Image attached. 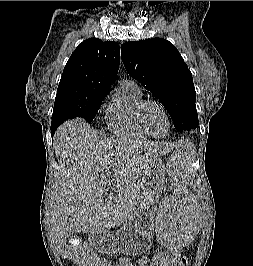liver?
<instances>
[{
  "instance_id": "1",
  "label": "liver",
  "mask_w": 253,
  "mask_h": 266,
  "mask_svg": "<svg viewBox=\"0 0 253 266\" xmlns=\"http://www.w3.org/2000/svg\"><path fill=\"white\" fill-rule=\"evenodd\" d=\"M54 146L60 163L52 207L59 252L75 232L107 231L130 219L148 171L171 150L162 142L101 138L82 119L60 125Z\"/></svg>"
}]
</instances>
